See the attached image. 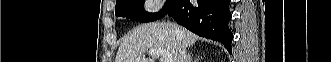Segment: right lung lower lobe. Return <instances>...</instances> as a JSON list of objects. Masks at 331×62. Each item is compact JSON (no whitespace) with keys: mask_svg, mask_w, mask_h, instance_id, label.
<instances>
[{"mask_svg":"<svg viewBox=\"0 0 331 62\" xmlns=\"http://www.w3.org/2000/svg\"><path fill=\"white\" fill-rule=\"evenodd\" d=\"M231 0H179L167 13L193 33L221 42L231 53L233 35L228 27Z\"/></svg>","mask_w":331,"mask_h":62,"instance_id":"1","label":"right lung lower lobe"}]
</instances>
